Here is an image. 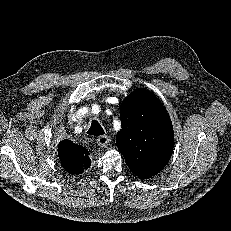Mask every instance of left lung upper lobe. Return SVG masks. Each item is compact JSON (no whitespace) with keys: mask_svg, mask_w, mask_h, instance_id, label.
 I'll return each instance as SVG.
<instances>
[{"mask_svg":"<svg viewBox=\"0 0 231 231\" xmlns=\"http://www.w3.org/2000/svg\"><path fill=\"white\" fill-rule=\"evenodd\" d=\"M120 117L116 143L126 164L140 179L154 176L166 166L174 146L167 111L153 93L139 89L124 99Z\"/></svg>","mask_w":231,"mask_h":231,"instance_id":"left-lung-upper-lobe-1","label":"left lung upper lobe"}]
</instances>
